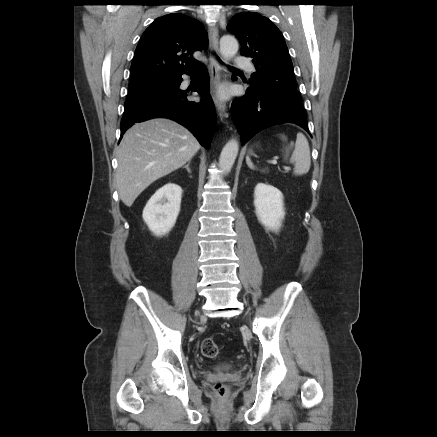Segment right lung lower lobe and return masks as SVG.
Wrapping results in <instances>:
<instances>
[{
    "label": "right lung lower lobe",
    "instance_id": "1",
    "mask_svg": "<svg viewBox=\"0 0 437 437\" xmlns=\"http://www.w3.org/2000/svg\"><path fill=\"white\" fill-rule=\"evenodd\" d=\"M202 74L196 81L193 91L202 98L195 102L187 99V91L181 90L182 75L177 76L171 86L149 94L129 98L124 103V114L121 120V136L136 122L155 117L175 120L188 128L200 144L209 149L216 124L214 103L209 95V75L203 64L199 65ZM186 74L193 75L190 70Z\"/></svg>",
    "mask_w": 437,
    "mask_h": 437
}]
</instances>
